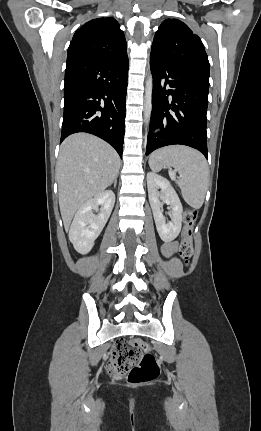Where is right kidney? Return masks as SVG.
<instances>
[{"mask_svg": "<svg viewBox=\"0 0 261 431\" xmlns=\"http://www.w3.org/2000/svg\"><path fill=\"white\" fill-rule=\"evenodd\" d=\"M115 204V194L111 190L103 191L85 202L76 212L69 230V239L75 250L87 254L93 247L96 238L108 221ZM98 215L92 210H98Z\"/></svg>", "mask_w": 261, "mask_h": 431, "instance_id": "1", "label": "right kidney"}]
</instances>
